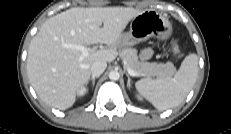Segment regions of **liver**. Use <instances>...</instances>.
I'll list each match as a JSON object with an SVG mask.
<instances>
[{"mask_svg": "<svg viewBox=\"0 0 231 134\" xmlns=\"http://www.w3.org/2000/svg\"><path fill=\"white\" fill-rule=\"evenodd\" d=\"M142 12L125 7H74L49 18L31 40L27 57L28 78L40 99L60 110L71 107L90 79L91 65L115 60L123 30ZM98 43L111 48L91 52L82 60L81 52L69 47Z\"/></svg>", "mask_w": 231, "mask_h": 134, "instance_id": "6515ba94", "label": "liver"}]
</instances>
